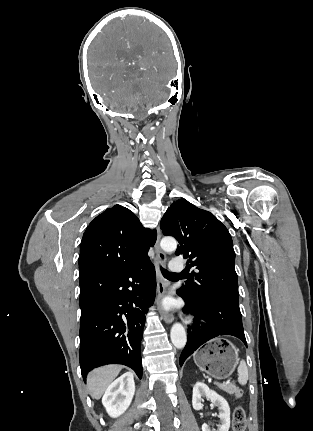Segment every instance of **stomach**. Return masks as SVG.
<instances>
[{
    "mask_svg": "<svg viewBox=\"0 0 313 431\" xmlns=\"http://www.w3.org/2000/svg\"><path fill=\"white\" fill-rule=\"evenodd\" d=\"M198 368L215 379L228 378L238 363V351L228 340L216 338L193 356Z\"/></svg>",
    "mask_w": 313,
    "mask_h": 431,
    "instance_id": "obj_1",
    "label": "stomach"
}]
</instances>
